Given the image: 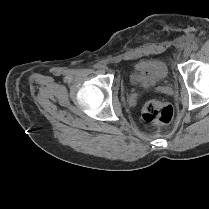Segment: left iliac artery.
I'll list each match as a JSON object with an SVG mask.
<instances>
[{
  "instance_id": "1",
  "label": "left iliac artery",
  "mask_w": 209,
  "mask_h": 209,
  "mask_svg": "<svg viewBox=\"0 0 209 209\" xmlns=\"http://www.w3.org/2000/svg\"><path fill=\"white\" fill-rule=\"evenodd\" d=\"M198 49V45L196 44V43H194L193 45H192V50L193 51H196Z\"/></svg>"
}]
</instances>
